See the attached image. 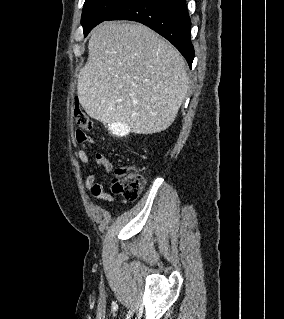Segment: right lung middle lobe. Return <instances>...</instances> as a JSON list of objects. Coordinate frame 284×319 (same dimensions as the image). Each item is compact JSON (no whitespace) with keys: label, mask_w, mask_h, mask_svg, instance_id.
Listing matches in <instances>:
<instances>
[{"label":"right lung middle lobe","mask_w":284,"mask_h":319,"mask_svg":"<svg viewBox=\"0 0 284 319\" xmlns=\"http://www.w3.org/2000/svg\"><path fill=\"white\" fill-rule=\"evenodd\" d=\"M131 1L132 0H86L81 17L84 36H87L97 24L107 20L113 13Z\"/></svg>","instance_id":"dd1d6c3e"}]
</instances>
